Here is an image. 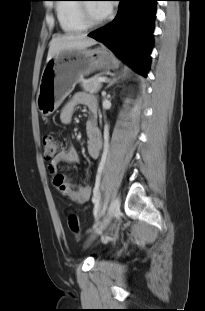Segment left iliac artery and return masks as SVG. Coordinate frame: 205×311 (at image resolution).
Listing matches in <instances>:
<instances>
[{"mask_svg":"<svg viewBox=\"0 0 205 311\" xmlns=\"http://www.w3.org/2000/svg\"><path fill=\"white\" fill-rule=\"evenodd\" d=\"M99 184H100V174H98L96 177V184H95L96 189H98ZM94 204H95V209L98 210V208L100 207L99 198H95ZM106 209H107V202L104 203L102 210L100 212V216L105 213Z\"/></svg>","mask_w":205,"mask_h":311,"instance_id":"obj_1","label":"left iliac artery"}]
</instances>
